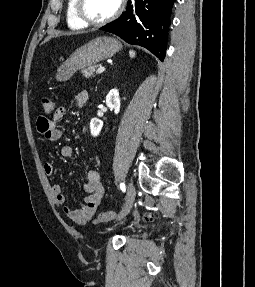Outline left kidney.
Returning <instances> with one entry per match:
<instances>
[{
    "mask_svg": "<svg viewBox=\"0 0 255 287\" xmlns=\"http://www.w3.org/2000/svg\"><path fill=\"white\" fill-rule=\"evenodd\" d=\"M106 106L108 108H112L115 114H119L120 112V98L118 90H110L109 94L106 96ZM103 128V122L98 120V118H92L90 122V132L92 136H99L101 130Z\"/></svg>",
    "mask_w": 255,
    "mask_h": 287,
    "instance_id": "obj_1",
    "label": "left kidney"
}]
</instances>
